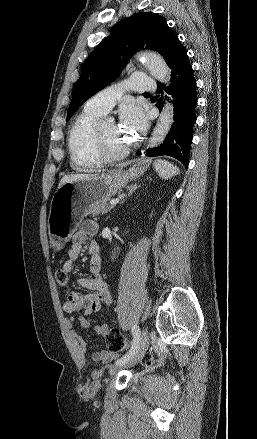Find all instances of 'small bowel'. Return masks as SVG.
I'll list each match as a JSON object with an SVG mask.
<instances>
[{
    "instance_id": "small-bowel-1",
    "label": "small bowel",
    "mask_w": 257,
    "mask_h": 439,
    "mask_svg": "<svg viewBox=\"0 0 257 439\" xmlns=\"http://www.w3.org/2000/svg\"><path fill=\"white\" fill-rule=\"evenodd\" d=\"M98 230V226L94 221H84L79 230L71 238V246L68 250V259L63 263L62 269L68 274L74 269L75 261L78 258L83 244L92 238ZM88 251L90 255V277H80L78 283L81 287L88 290L87 293L69 292L66 295L63 303V309L70 314L81 312L78 316H72L70 318V324L76 320L79 321L83 328H88L90 322L85 318L88 315L97 313L103 310L112 302V297L109 292L108 285L101 275V257L100 247L97 241L91 240L88 245ZM106 324H97L94 326V332L98 336L104 337L108 332ZM70 337L74 341L78 357L81 364H86L87 346L82 337L74 330L70 331ZM117 355L108 350H97L92 354V359L95 362L108 365Z\"/></svg>"
}]
</instances>
